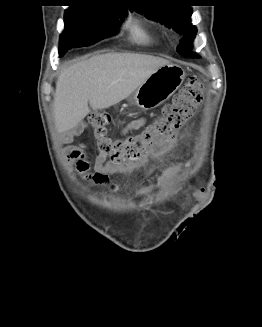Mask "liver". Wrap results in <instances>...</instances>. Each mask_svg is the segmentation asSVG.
<instances>
[{
	"label": "liver",
	"mask_w": 262,
	"mask_h": 327,
	"mask_svg": "<svg viewBox=\"0 0 262 327\" xmlns=\"http://www.w3.org/2000/svg\"><path fill=\"white\" fill-rule=\"evenodd\" d=\"M166 64L169 61L151 55L106 53L70 65L56 82L57 131L63 133L74 128L89 114L90 107L99 110L119 103Z\"/></svg>",
	"instance_id": "6515ba94"
}]
</instances>
